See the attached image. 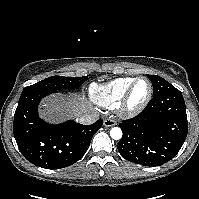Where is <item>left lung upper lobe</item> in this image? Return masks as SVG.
<instances>
[{
  "mask_svg": "<svg viewBox=\"0 0 199 199\" xmlns=\"http://www.w3.org/2000/svg\"><path fill=\"white\" fill-rule=\"evenodd\" d=\"M147 77L153 85V97L177 90L173 85L157 75H147Z\"/></svg>",
  "mask_w": 199,
  "mask_h": 199,
  "instance_id": "1",
  "label": "left lung upper lobe"
}]
</instances>
